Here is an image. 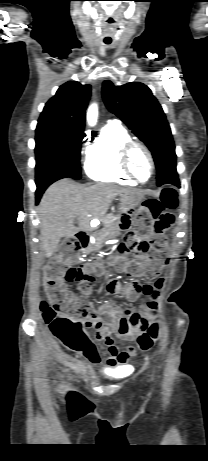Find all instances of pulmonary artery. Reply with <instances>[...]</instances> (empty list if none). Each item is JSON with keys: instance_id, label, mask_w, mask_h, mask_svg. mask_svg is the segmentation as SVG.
Here are the masks:
<instances>
[{"instance_id": "e3ab8cb5", "label": "pulmonary artery", "mask_w": 208, "mask_h": 461, "mask_svg": "<svg viewBox=\"0 0 208 461\" xmlns=\"http://www.w3.org/2000/svg\"><path fill=\"white\" fill-rule=\"evenodd\" d=\"M108 124H119V121L115 119H111V120H108Z\"/></svg>"}]
</instances>
